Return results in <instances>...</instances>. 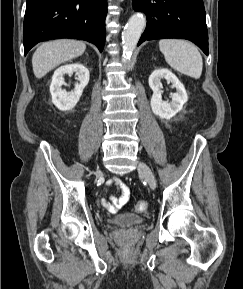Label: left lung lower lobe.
<instances>
[{"instance_id": "1", "label": "left lung lower lobe", "mask_w": 243, "mask_h": 289, "mask_svg": "<svg viewBox=\"0 0 243 289\" xmlns=\"http://www.w3.org/2000/svg\"><path fill=\"white\" fill-rule=\"evenodd\" d=\"M136 11L147 16L145 40L182 38L194 42L208 55V32L203 0H133Z\"/></svg>"}]
</instances>
